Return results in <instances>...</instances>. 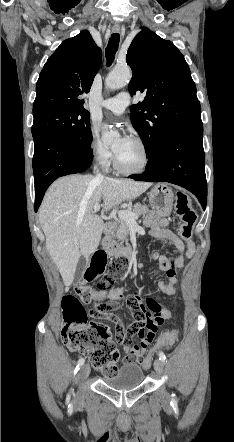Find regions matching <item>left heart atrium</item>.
I'll return each mask as SVG.
<instances>
[{
  "mask_svg": "<svg viewBox=\"0 0 234 442\" xmlns=\"http://www.w3.org/2000/svg\"><path fill=\"white\" fill-rule=\"evenodd\" d=\"M129 139H130V138H128V137H124V138L122 139V142L125 144L126 142L129 141Z\"/></svg>",
  "mask_w": 234,
  "mask_h": 442,
  "instance_id": "obj_1",
  "label": "left heart atrium"
}]
</instances>
